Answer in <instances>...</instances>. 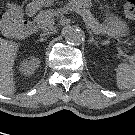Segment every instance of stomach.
<instances>
[{
  "label": "stomach",
  "instance_id": "stomach-1",
  "mask_svg": "<svg viewBox=\"0 0 135 135\" xmlns=\"http://www.w3.org/2000/svg\"><path fill=\"white\" fill-rule=\"evenodd\" d=\"M106 32L112 36V37H117V36H125L128 33V26L127 24L119 19L117 16L114 14L107 13V19H106Z\"/></svg>",
  "mask_w": 135,
  "mask_h": 135
}]
</instances>
